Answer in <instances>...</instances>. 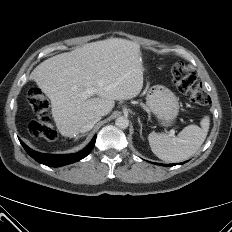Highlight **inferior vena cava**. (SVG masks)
Listing matches in <instances>:
<instances>
[{
  "label": "inferior vena cava",
  "instance_id": "1",
  "mask_svg": "<svg viewBox=\"0 0 232 232\" xmlns=\"http://www.w3.org/2000/svg\"><path fill=\"white\" fill-rule=\"evenodd\" d=\"M101 114H92L88 117L87 123L82 126L80 129L81 133L89 131L93 128L94 124L101 119Z\"/></svg>",
  "mask_w": 232,
  "mask_h": 232
}]
</instances>
